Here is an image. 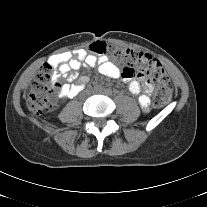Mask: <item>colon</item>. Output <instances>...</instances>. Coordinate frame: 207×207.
Wrapping results in <instances>:
<instances>
[{"instance_id": "colon-1", "label": "colon", "mask_w": 207, "mask_h": 207, "mask_svg": "<svg viewBox=\"0 0 207 207\" xmlns=\"http://www.w3.org/2000/svg\"><path fill=\"white\" fill-rule=\"evenodd\" d=\"M91 50L104 54L121 66L125 78L138 76L146 82V86H157L154 95V105L162 107L171 98L169 76L161 63L151 56L133 49L124 48L115 44L96 43L90 45ZM54 68L45 64L44 69L36 76L27 95V106L34 114H42L51 110L55 102V88L57 84L52 80Z\"/></svg>"}]
</instances>
